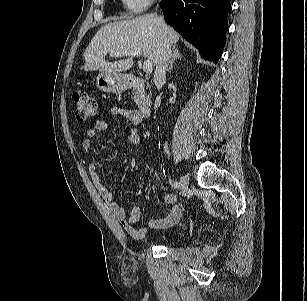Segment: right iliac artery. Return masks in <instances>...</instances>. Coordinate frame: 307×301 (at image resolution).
<instances>
[{"label":"right iliac artery","mask_w":307,"mask_h":301,"mask_svg":"<svg viewBox=\"0 0 307 301\" xmlns=\"http://www.w3.org/2000/svg\"><path fill=\"white\" fill-rule=\"evenodd\" d=\"M171 185H172V187L175 188V189H178V188L181 186L180 182H178V181H173V182L171 183Z\"/></svg>","instance_id":"82829eb1"}]
</instances>
